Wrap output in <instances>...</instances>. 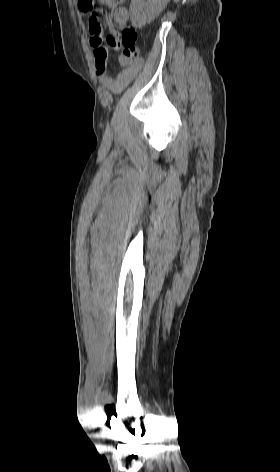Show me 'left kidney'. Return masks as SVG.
Segmentation results:
<instances>
[{
	"label": "left kidney",
	"mask_w": 280,
	"mask_h": 472,
	"mask_svg": "<svg viewBox=\"0 0 280 472\" xmlns=\"http://www.w3.org/2000/svg\"><path fill=\"white\" fill-rule=\"evenodd\" d=\"M163 8V0H131L130 19L136 28L154 20Z\"/></svg>",
	"instance_id": "obj_1"
}]
</instances>
